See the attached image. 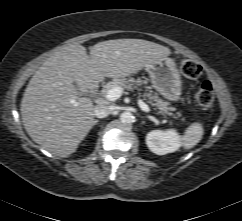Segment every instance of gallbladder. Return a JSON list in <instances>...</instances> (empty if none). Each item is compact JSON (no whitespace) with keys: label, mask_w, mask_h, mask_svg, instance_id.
<instances>
[{"label":"gallbladder","mask_w":242,"mask_h":221,"mask_svg":"<svg viewBox=\"0 0 242 221\" xmlns=\"http://www.w3.org/2000/svg\"><path fill=\"white\" fill-rule=\"evenodd\" d=\"M76 87H77V85H76ZM77 90H78L79 94H81V95L86 94L85 92H83V91L79 90L78 88H77Z\"/></svg>","instance_id":"gallbladder-1"}]
</instances>
